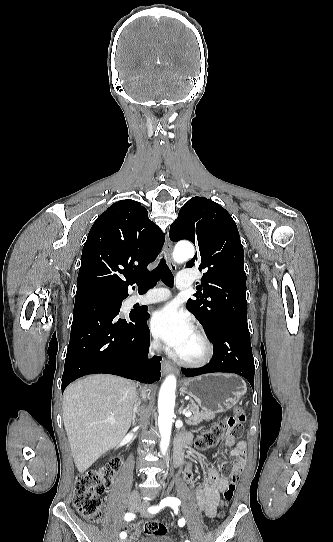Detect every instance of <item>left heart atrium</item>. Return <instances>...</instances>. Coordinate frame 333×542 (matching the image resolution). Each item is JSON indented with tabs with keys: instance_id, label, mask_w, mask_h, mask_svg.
<instances>
[{
	"instance_id": "obj_1",
	"label": "left heart atrium",
	"mask_w": 333,
	"mask_h": 542,
	"mask_svg": "<svg viewBox=\"0 0 333 542\" xmlns=\"http://www.w3.org/2000/svg\"><path fill=\"white\" fill-rule=\"evenodd\" d=\"M151 327L172 354H176L184 341L195 331L191 317L174 304L157 311L151 321Z\"/></svg>"
}]
</instances>
